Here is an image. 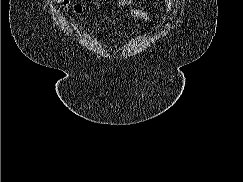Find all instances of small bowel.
<instances>
[{"label": "small bowel", "instance_id": "obj_1", "mask_svg": "<svg viewBox=\"0 0 243 182\" xmlns=\"http://www.w3.org/2000/svg\"><path fill=\"white\" fill-rule=\"evenodd\" d=\"M130 16L136 19L144 20V21H150L149 15L142 10L134 9L130 11Z\"/></svg>", "mask_w": 243, "mask_h": 182}]
</instances>
